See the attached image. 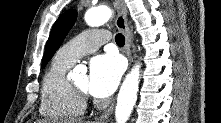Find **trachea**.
Returning <instances> with one entry per match:
<instances>
[{"label": "trachea", "instance_id": "3493384b", "mask_svg": "<svg viewBox=\"0 0 221 123\" xmlns=\"http://www.w3.org/2000/svg\"><path fill=\"white\" fill-rule=\"evenodd\" d=\"M115 41H116V44L118 46H124V44H125V37L122 34H117L115 36Z\"/></svg>", "mask_w": 221, "mask_h": 123}]
</instances>
